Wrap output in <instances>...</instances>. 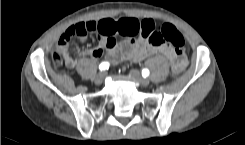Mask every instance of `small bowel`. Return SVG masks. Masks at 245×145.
<instances>
[{
  "label": "small bowel",
  "instance_id": "1",
  "mask_svg": "<svg viewBox=\"0 0 245 145\" xmlns=\"http://www.w3.org/2000/svg\"><path fill=\"white\" fill-rule=\"evenodd\" d=\"M90 27L91 32L99 35L98 45L94 48H87L76 51L72 44L68 42L64 46L65 65L68 68H74L79 58L91 56L99 57L103 54L114 62L130 61L138 63L146 58L152 57L158 53L165 55L170 61H177L181 67L187 64V58L183 51H176L165 45L154 46L145 41H117L112 35L125 31L127 27L134 23L142 26L144 23H153L150 20H138L132 17L121 18L118 20L112 18L91 19L85 22ZM84 39L81 38L80 41Z\"/></svg>",
  "mask_w": 245,
  "mask_h": 145
}]
</instances>
